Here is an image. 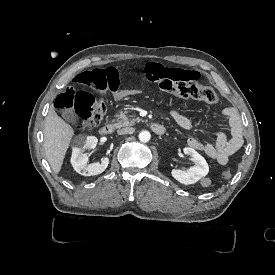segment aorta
I'll list each match as a JSON object with an SVG mask.
<instances>
[{
    "label": "aorta",
    "instance_id": "aorta-1",
    "mask_svg": "<svg viewBox=\"0 0 275 275\" xmlns=\"http://www.w3.org/2000/svg\"><path fill=\"white\" fill-rule=\"evenodd\" d=\"M138 137L141 142L146 143L151 139V134L149 131L143 130L139 133Z\"/></svg>",
    "mask_w": 275,
    "mask_h": 275
}]
</instances>
